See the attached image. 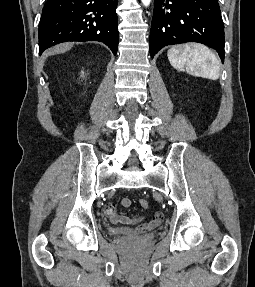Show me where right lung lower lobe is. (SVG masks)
Segmentation results:
<instances>
[{
  "mask_svg": "<svg viewBox=\"0 0 255 287\" xmlns=\"http://www.w3.org/2000/svg\"><path fill=\"white\" fill-rule=\"evenodd\" d=\"M118 0H48L39 23V54L66 41H99L118 50Z\"/></svg>",
  "mask_w": 255,
  "mask_h": 287,
  "instance_id": "1",
  "label": "right lung lower lobe"
}]
</instances>
